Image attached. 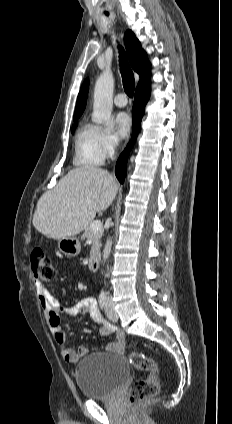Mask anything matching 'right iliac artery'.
<instances>
[{
  "mask_svg": "<svg viewBox=\"0 0 232 424\" xmlns=\"http://www.w3.org/2000/svg\"><path fill=\"white\" fill-rule=\"evenodd\" d=\"M106 299H107V297H106L105 293H101L99 295L98 301H99V305H100L101 309L106 307Z\"/></svg>",
  "mask_w": 232,
  "mask_h": 424,
  "instance_id": "obj_1",
  "label": "right iliac artery"
}]
</instances>
